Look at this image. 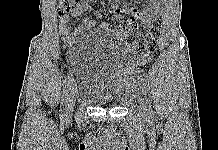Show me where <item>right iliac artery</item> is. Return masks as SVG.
Here are the masks:
<instances>
[{"mask_svg":"<svg viewBox=\"0 0 218 150\" xmlns=\"http://www.w3.org/2000/svg\"><path fill=\"white\" fill-rule=\"evenodd\" d=\"M73 77L71 74L68 75L65 87L63 89V96H62V103H61V114L62 116L65 115L66 106L69 99V93L71 91L72 85H73Z\"/></svg>","mask_w":218,"mask_h":150,"instance_id":"obj_1","label":"right iliac artery"}]
</instances>
